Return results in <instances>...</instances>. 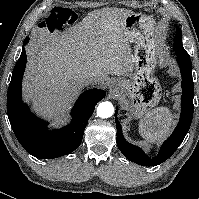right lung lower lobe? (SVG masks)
<instances>
[{"label":"right lung lower lobe","instance_id":"98d812e1","mask_svg":"<svg viewBox=\"0 0 199 199\" xmlns=\"http://www.w3.org/2000/svg\"><path fill=\"white\" fill-rule=\"evenodd\" d=\"M29 38L24 40L27 44ZM24 48L13 72L7 93V115L14 134L32 156L52 159L73 152L80 144L88 119L95 105L105 97V91L90 89L83 92L72 108L71 123L59 130L49 131L48 123L37 118L22 102L21 86L26 66Z\"/></svg>","mask_w":199,"mask_h":199}]
</instances>
